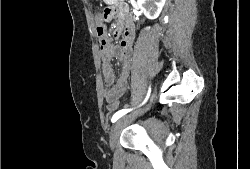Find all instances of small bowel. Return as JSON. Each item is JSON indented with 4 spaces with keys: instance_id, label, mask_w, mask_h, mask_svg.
<instances>
[{
    "instance_id": "c3829d8e",
    "label": "small bowel",
    "mask_w": 250,
    "mask_h": 169,
    "mask_svg": "<svg viewBox=\"0 0 250 169\" xmlns=\"http://www.w3.org/2000/svg\"><path fill=\"white\" fill-rule=\"evenodd\" d=\"M117 16L122 20L124 32L119 46L109 44V40L103 34L100 36V58L102 62V74L105 83L104 97L108 91H118L123 95L130 78L132 64V33L128 25L124 24L125 16L117 11ZM99 27V26H98ZM113 59L121 62V71L116 78L115 69L112 65Z\"/></svg>"
}]
</instances>
